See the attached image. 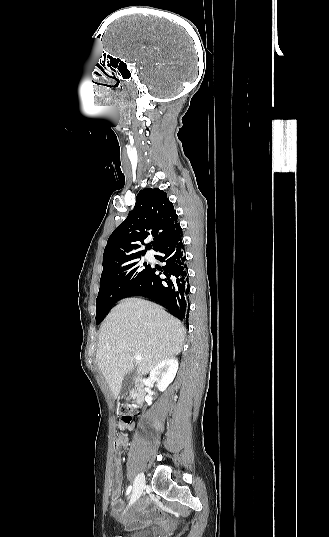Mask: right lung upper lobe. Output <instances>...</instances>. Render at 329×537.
Listing matches in <instances>:
<instances>
[{"mask_svg": "<svg viewBox=\"0 0 329 537\" xmlns=\"http://www.w3.org/2000/svg\"><path fill=\"white\" fill-rule=\"evenodd\" d=\"M178 216L167 194L160 189L139 191L135 207L111 234L103 255V268L121 265L143 256L147 250H157L162 243L181 230ZM153 242L145 245L147 237ZM152 244V245H151Z\"/></svg>", "mask_w": 329, "mask_h": 537, "instance_id": "obj_1", "label": "right lung upper lobe"}]
</instances>
